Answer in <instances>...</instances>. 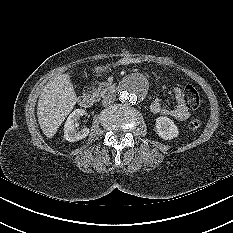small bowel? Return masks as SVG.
Wrapping results in <instances>:
<instances>
[{
	"mask_svg": "<svg viewBox=\"0 0 233 233\" xmlns=\"http://www.w3.org/2000/svg\"><path fill=\"white\" fill-rule=\"evenodd\" d=\"M176 104L172 107L160 99H156L151 104V111L154 114L170 116L178 121H184L189 118L190 111L186 105L183 91L180 87L174 88Z\"/></svg>",
	"mask_w": 233,
	"mask_h": 233,
	"instance_id": "small-bowel-1",
	"label": "small bowel"
}]
</instances>
